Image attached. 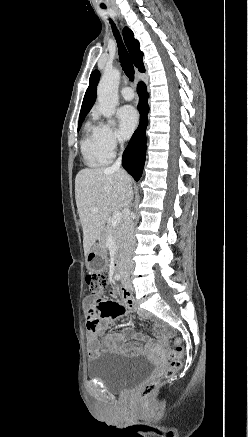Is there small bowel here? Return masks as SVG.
Wrapping results in <instances>:
<instances>
[{
    "instance_id": "obj_1",
    "label": "small bowel",
    "mask_w": 248,
    "mask_h": 437,
    "mask_svg": "<svg viewBox=\"0 0 248 437\" xmlns=\"http://www.w3.org/2000/svg\"><path fill=\"white\" fill-rule=\"evenodd\" d=\"M133 304L130 294L122 289V302L113 301V298H106V293L86 294L83 305L86 307L85 315L87 318V329L89 332L88 355L97 356L103 348L113 352L139 353L145 351H155L160 348V344L147 340L139 333H135L130 327L121 332L105 333L103 341L97 339V335L102 331V322L109 323L125 312ZM115 311V312H114ZM157 334L160 341L164 342V331L157 326ZM129 338L138 341H146L144 345L138 342H128Z\"/></svg>"
}]
</instances>
